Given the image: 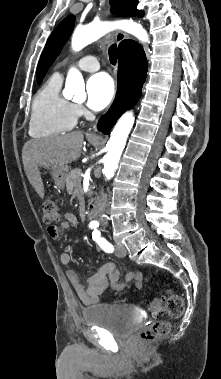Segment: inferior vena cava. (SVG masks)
I'll use <instances>...</instances> for the list:
<instances>
[{
    "instance_id": "obj_1",
    "label": "inferior vena cava",
    "mask_w": 221,
    "mask_h": 379,
    "mask_svg": "<svg viewBox=\"0 0 221 379\" xmlns=\"http://www.w3.org/2000/svg\"><path fill=\"white\" fill-rule=\"evenodd\" d=\"M101 200H102V204H101V206H102V208H101V214H100V221H101V223L103 224V225H106L107 224V221H106V219H105V214H104V212H105V207H106V202H107V194H105V193H102L101 194Z\"/></svg>"
}]
</instances>
